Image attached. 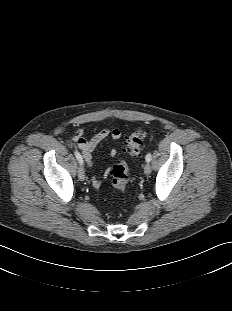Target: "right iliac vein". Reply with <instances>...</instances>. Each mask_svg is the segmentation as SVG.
I'll return each instance as SVG.
<instances>
[{
  "label": "right iliac vein",
  "mask_w": 232,
  "mask_h": 311,
  "mask_svg": "<svg viewBox=\"0 0 232 311\" xmlns=\"http://www.w3.org/2000/svg\"><path fill=\"white\" fill-rule=\"evenodd\" d=\"M78 177L80 180H85V171H84V168L82 166L79 167Z\"/></svg>",
  "instance_id": "right-iliac-vein-1"
}]
</instances>
